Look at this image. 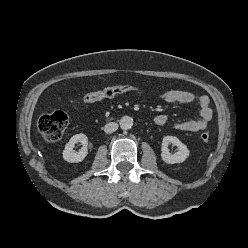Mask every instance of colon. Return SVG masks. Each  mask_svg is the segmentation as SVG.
I'll return each mask as SVG.
<instances>
[{
  "instance_id": "obj_1",
  "label": "colon",
  "mask_w": 248,
  "mask_h": 248,
  "mask_svg": "<svg viewBox=\"0 0 248 248\" xmlns=\"http://www.w3.org/2000/svg\"><path fill=\"white\" fill-rule=\"evenodd\" d=\"M137 90L136 86L131 84H114L100 89L89 91L80 97L84 103H96L112 99L120 94ZM68 117L64 112L56 111L54 113L42 115L37 123L38 130L42 137L47 141H56L60 139L67 127ZM203 142H208L209 133L203 132L200 136Z\"/></svg>"
}]
</instances>
